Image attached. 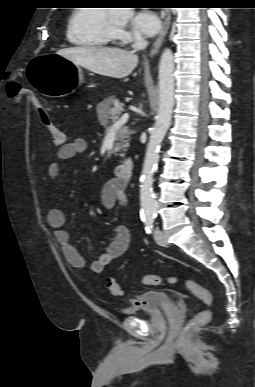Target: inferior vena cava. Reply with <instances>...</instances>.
<instances>
[{
  "label": "inferior vena cava",
  "instance_id": "inferior-vena-cava-1",
  "mask_svg": "<svg viewBox=\"0 0 255 387\" xmlns=\"http://www.w3.org/2000/svg\"><path fill=\"white\" fill-rule=\"evenodd\" d=\"M148 45V42L142 38V37H138L135 41V43L133 44V48L136 50V49H145Z\"/></svg>",
  "mask_w": 255,
  "mask_h": 387
}]
</instances>
